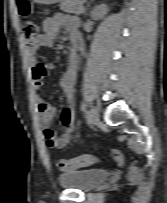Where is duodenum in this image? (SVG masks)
Here are the masks:
<instances>
[{"label":"duodenum","instance_id":"duodenum-1","mask_svg":"<svg viewBox=\"0 0 167 203\" xmlns=\"http://www.w3.org/2000/svg\"><path fill=\"white\" fill-rule=\"evenodd\" d=\"M73 51H74V53L77 54V45H76V43L73 45Z\"/></svg>","mask_w":167,"mask_h":203}]
</instances>
